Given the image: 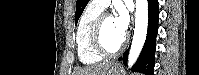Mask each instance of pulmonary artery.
<instances>
[{"label": "pulmonary artery", "instance_id": "1", "mask_svg": "<svg viewBox=\"0 0 199 75\" xmlns=\"http://www.w3.org/2000/svg\"><path fill=\"white\" fill-rule=\"evenodd\" d=\"M109 3H110L109 0L91 1L92 6H95L101 10H104L109 5Z\"/></svg>", "mask_w": 199, "mask_h": 75}]
</instances>
